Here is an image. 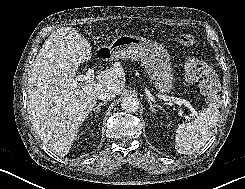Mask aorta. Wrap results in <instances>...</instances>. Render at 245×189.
I'll return each mask as SVG.
<instances>
[{
	"instance_id": "aorta-1",
	"label": "aorta",
	"mask_w": 245,
	"mask_h": 189,
	"mask_svg": "<svg viewBox=\"0 0 245 189\" xmlns=\"http://www.w3.org/2000/svg\"><path fill=\"white\" fill-rule=\"evenodd\" d=\"M121 107L127 112H136L139 108V102L136 98L132 96H127L123 98L121 102Z\"/></svg>"
}]
</instances>
